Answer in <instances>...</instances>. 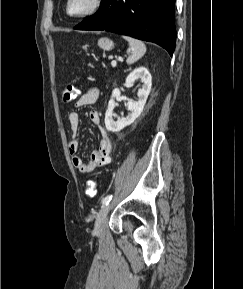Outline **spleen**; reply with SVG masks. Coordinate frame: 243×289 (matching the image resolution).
Masks as SVG:
<instances>
[{"mask_svg": "<svg viewBox=\"0 0 243 289\" xmlns=\"http://www.w3.org/2000/svg\"><path fill=\"white\" fill-rule=\"evenodd\" d=\"M123 38L129 43V49L127 50L129 56L126 62L128 65H131L143 57V55L146 53V46L138 39L127 36H124Z\"/></svg>", "mask_w": 243, "mask_h": 289, "instance_id": "spleen-1", "label": "spleen"}]
</instances>
